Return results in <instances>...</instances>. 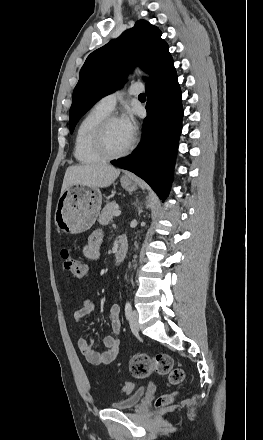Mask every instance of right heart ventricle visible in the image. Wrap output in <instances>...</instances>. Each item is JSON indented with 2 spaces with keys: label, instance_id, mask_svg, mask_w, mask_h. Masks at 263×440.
<instances>
[{
  "label": "right heart ventricle",
  "instance_id": "e07e8e85",
  "mask_svg": "<svg viewBox=\"0 0 263 440\" xmlns=\"http://www.w3.org/2000/svg\"><path fill=\"white\" fill-rule=\"evenodd\" d=\"M109 113L95 105L81 119L74 140V157L79 163L92 164L105 160L94 148L93 135L97 124Z\"/></svg>",
  "mask_w": 263,
  "mask_h": 440
}]
</instances>
